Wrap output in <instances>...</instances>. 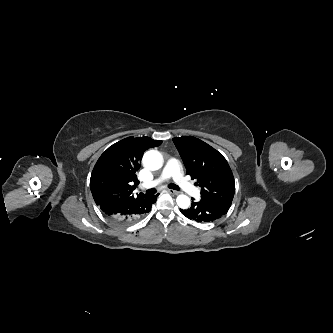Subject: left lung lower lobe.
Wrapping results in <instances>:
<instances>
[{
    "label": "left lung lower lobe",
    "mask_w": 333,
    "mask_h": 333,
    "mask_svg": "<svg viewBox=\"0 0 333 333\" xmlns=\"http://www.w3.org/2000/svg\"><path fill=\"white\" fill-rule=\"evenodd\" d=\"M230 205L201 198L200 201H192L188 209H180L181 213L197 222H212L225 215Z\"/></svg>",
    "instance_id": "0a47b994"
}]
</instances>
